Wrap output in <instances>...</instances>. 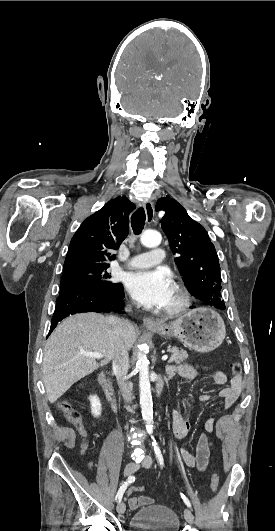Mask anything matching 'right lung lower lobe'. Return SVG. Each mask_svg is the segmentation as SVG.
<instances>
[{
  "mask_svg": "<svg viewBox=\"0 0 275 531\" xmlns=\"http://www.w3.org/2000/svg\"><path fill=\"white\" fill-rule=\"evenodd\" d=\"M123 299L121 284L105 291L86 284L63 285L56 301L49 334L58 322L75 313L120 311L124 305Z\"/></svg>",
  "mask_w": 275,
  "mask_h": 531,
  "instance_id": "obj_1",
  "label": "right lung lower lobe"
}]
</instances>
